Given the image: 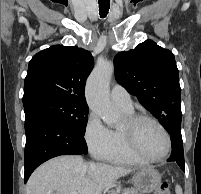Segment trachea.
I'll list each match as a JSON object with an SVG mask.
<instances>
[{
  "mask_svg": "<svg viewBox=\"0 0 201 194\" xmlns=\"http://www.w3.org/2000/svg\"><path fill=\"white\" fill-rule=\"evenodd\" d=\"M110 8V2H99V14L101 18L106 17Z\"/></svg>",
  "mask_w": 201,
  "mask_h": 194,
  "instance_id": "obj_1",
  "label": "trachea"
}]
</instances>
